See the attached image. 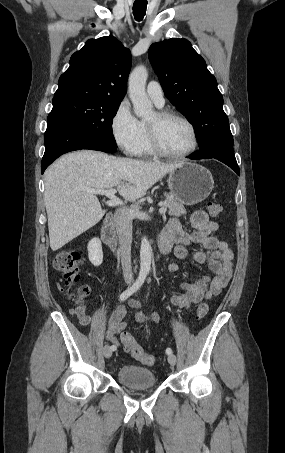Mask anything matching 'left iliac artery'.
Segmentation results:
<instances>
[{
    "label": "left iliac artery",
    "instance_id": "1",
    "mask_svg": "<svg viewBox=\"0 0 285 453\" xmlns=\"http://www.w3.org/2000/svg\"><path fill=\"white\" fill-rule=\"evenodd\" d=\"M166 353L169 355V354H172V349L171 348H167L166 349Z\"/></svg>",
    "mask_w": 285,
    "mask_h": 453
}]
</instances>
